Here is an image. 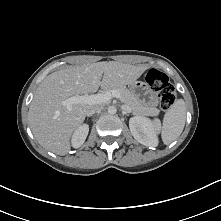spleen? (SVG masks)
Here are the masks:
<instances>
[{"label":"spleen","mask_w":221,"mask_h":221,"mask_svg":"<svg viewBox=\"0 0 221 221\" xmlns=\"http://www.w3.org/2000/svg\"><path fill=\"white\" fill-rule=\"evenodd\" d=\"M186 121V106L182 99H177L164 115L163 124L155 120L157 130H161L164 144L168 145L176 140L182 133Z\"/></svg>","instance_id":"obj_1"}]
</instances>
